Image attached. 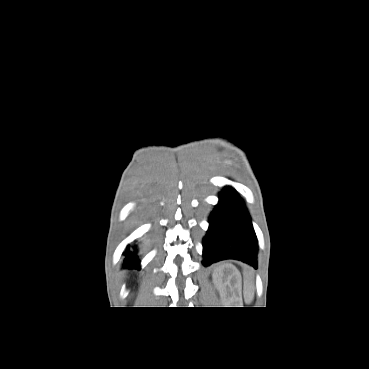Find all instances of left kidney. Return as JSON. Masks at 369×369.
<instances>
[{
  "mask_svg": "<svg viewBox=\"0 0 369 369\" xmlns=\"http://www.w3.org/2000/svg\"><path fill=\"white\" fill-rule=\"evenodd\" d=\"M213 283L222 292L227 289L237 290L240 283V273L232 265L220 266L213 271Z\"/></svg>",
  "mask_w": 369,
  "mask_h": 369,
  "instance_id": "left-kidney-1",
  "label": "left kidney"
}]
</instances>
